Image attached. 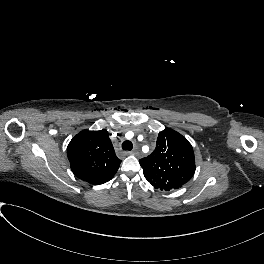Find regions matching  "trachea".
<instances>
[{
  "label": "trachea",
  "mask_w": 264,
  "mask_h": 264,
  "mask_svg": "<svg viewBox=\"0 0 264 264\" xmlns=\"http://www.w3.org/2000/svg\"><path fill=\"white\" fill-rule=\"evenodd\" d=\"M132 148H133V144H132V142L131 141H124L123 143H122V149L123 150H128V151H130V150H132Z\"/></svg>",
  "instance_id": "obj_1"
}]
</instances>
